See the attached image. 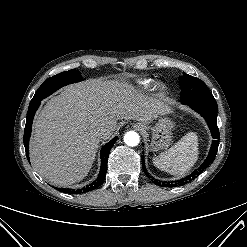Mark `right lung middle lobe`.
Returning a JSON list of instances; mask_svg holds the SVG:
<instances>
[{"instance_id":"right-lung-middle-lobe-1","label":"right lung middle lobe","mask_w":247,"mask_h":247,"mask_svg":"<svg viewBox=\"0 0 247 247\" xmlns=\"http://www.w3.org/2000/svg\"><path fill=\"white\" fill-rule=\"evenodd\" d=\"M83 78L77 70H69L48 78L36 91L31 103L41 102L44 98L54 93L59 88L82 81Z\"/></svg>"}]
</instances>
